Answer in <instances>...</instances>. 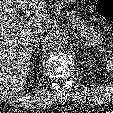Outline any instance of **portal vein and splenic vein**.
Listing matches in <instances>:
<instances>
[{
	"instance_id": "obj_1",
	"label": "portal vein and splenic vein",
	"mask_w": 113,
	"mask_h": 113,
	"mask_svg": "<svg viewBox=\"0 0 113 113\" xmlns=\"http://www.w3.org/2000/svg\"><path fill=\"white\" fill-rule=\"evenodd\" d=\"M24 17H20L17 22H16V26L21 27L24 24ZM74 28V27H73Z\"/></svg>"
}]
</instances>
